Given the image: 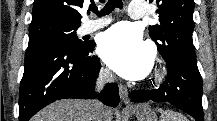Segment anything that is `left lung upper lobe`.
<instances>
[{"label":"left lung upper lobe","mask_w":217,"mask_h":121,"mask_svg":"<svg viewBox=\"0 0 217 121\" xmlns=\"http://www.w3.org/2000/svg\"><path fill=\"white\" fill-rule=\"evenodd\" d=\"M156 3L160 25L149 26V35L159 53L165 60L174 56L196 60L192 40L194 0H156Z\"/></svg>","instance_id":"left-lung-upper-lobe-1"}]
</instances>
